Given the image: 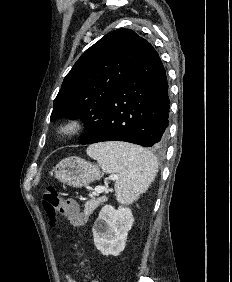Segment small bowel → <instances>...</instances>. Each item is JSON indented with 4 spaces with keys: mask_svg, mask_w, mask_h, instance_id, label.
<instances>
[{
    "mask_svg": "<svg viewBox=\"0 0 232 282\" xmlns=\"http://www.w3.org/2000/svg\"><path fill=\"white\" fill-rule=\"evenodd\" d=\"M66 281L67 282H77L70 274H66Z\"/></svg>",
    "mask_w": 232,
    "mask_h": 282,
    "instance_id": "small-bowel-1",
    "label": "small bowel"
}]
</instances>
